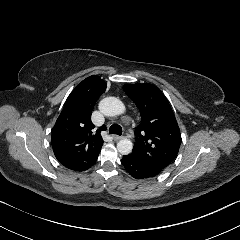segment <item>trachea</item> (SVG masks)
<instances>
[{
    "instance_id": "1",
    "label": "trachea",
    "mask_w": 240,
    "mask_h": 240,
    "mask_svg": "<svg viewBox=\"0 0 240 240\" xmlns=\"http://www.w3.org/2000/svg\"><path fill=\"white\" fill-rule=\"evenodd\" d=\"M109 134H116V135L121 136L122 127L118 124L111 125V127L109 128Z\"/></svg>"
}]
</instances>
